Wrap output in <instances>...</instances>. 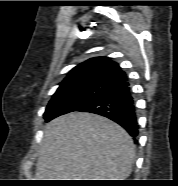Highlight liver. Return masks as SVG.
<instances>
[{"label": "liver", "instance_id": "liver-1", "mask_svg": "<svg viewBox=\"0 0 178 186\" xmlns=\"http://www.w3.org/2000/svg\"><path fill=\"white\" fill-rule=\"evenodd\" d=\"M135 145L113 121L72 112L44 126L36 180H124L132 170Z\"/></svg>", "mask_w": 178, "mask_h": 186}]
</instances>
